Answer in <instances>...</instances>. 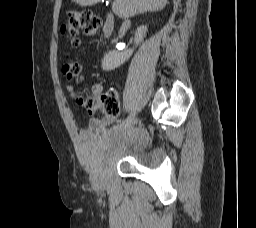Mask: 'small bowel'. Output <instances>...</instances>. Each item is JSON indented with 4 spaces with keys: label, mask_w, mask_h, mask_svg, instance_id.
<instances>
[{
    "label": "small bowel",
    "mask_w": 256,
    "mask_h": 228,
    "mask_svg": "<svg viewBox=\"0 0 256 228\" xmlns=\"http://www.w3.org/2000/svg\"><path fill=\"white\" fill-rule=\"evenodd\" d=\"M67 90L69 91L72 97H75L74 89L72 85H67ZM91 95L95 98H99L102 94V86L100 84H94L90 89ZM115 121V117H103V118H94L89 122L87 130L81 132L82 137L88 136L91 132H102L105 128L112 124Z\"/></svg>",
    "instance_id": "1"
}]
</instances>
